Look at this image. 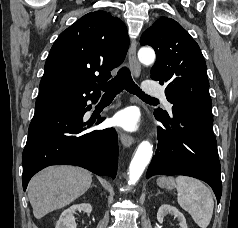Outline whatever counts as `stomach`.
Here are the masks:
<instances>
[{"label":"stomach","mask_w":238,"mask_h":228,"mask_svg":"<svg viewBox=\"0 0 238 228\" xmlns=\"http://www.w3.org/2000/svg\"><path fill=\"white\" fill-rule=\"evenodd\" d=\"M157 184L166 189H173L175 187V181L172 177H161L158 179Z\"/></svg>","instance_id":"obj_1"}]
</instances>
